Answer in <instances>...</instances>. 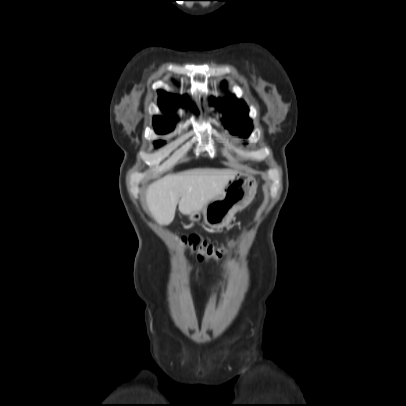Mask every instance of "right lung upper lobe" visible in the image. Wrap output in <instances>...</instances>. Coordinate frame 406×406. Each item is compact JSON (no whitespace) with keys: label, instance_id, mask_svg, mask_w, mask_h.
I'll return each instance as SVG.
<instances>
[{"label":"right lung upper lobe","instance_id":"obj_1","mask_svg":"<svg viewBox=\"0 0 406 406\" xmlns=\"http://www.w3.org/2000/svg\"><path fill=\"white\" fill-rule=\"evenodd\" d=\"M159 94V99H158V104L160 109L165 112V113H171L176 110L178 106H185L187 104V99L186 96H176V95H171L168 93H165L163 91H158ZM191 108L197 112V109L195 105H191ZM153 123H171L173 122L171 120L155 116L153 119Z\"/></svg>","mask_w":406,"mask_h":406}]
</instances>
